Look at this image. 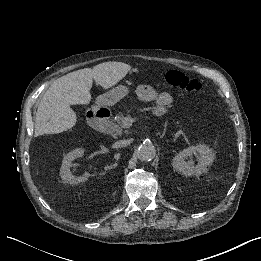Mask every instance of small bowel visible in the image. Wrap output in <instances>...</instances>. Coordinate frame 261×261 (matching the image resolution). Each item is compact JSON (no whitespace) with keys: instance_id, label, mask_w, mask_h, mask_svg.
Masks as SVG:
<instances>
[{"instance_id":"1","label":"small bowel","mask_w":261,"mask_h":261,"mask_svg":"<svg viewBox=\"0 0 261 261\" xmlns=\"http://www.w3.org/2000/svg\"><path fill=\"white\" fill-rule=\"evenodd\" d=\"M138 93L141 97L154 100L160 105H168L171 102V98L168 94L160 93L151 86H141Z\"/></svg>"}]
</instances>
